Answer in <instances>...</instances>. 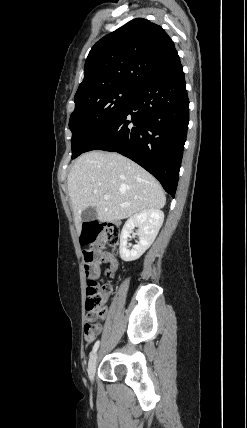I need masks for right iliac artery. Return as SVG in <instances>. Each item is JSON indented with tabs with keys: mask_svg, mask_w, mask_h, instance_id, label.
<instances>
[{
	"mask_svg": "<svg viewBox=\"0 0 247 428\" xmlns=\"http://www.w3.org/2000/svg\"><path fill=\"white\" fill-rule=\"evenodd\" d=\"M99 344H100V341H99V340H98V341H96V343H95V344H94V346H93V349H92L91 355H93L94 353H96L97 349L99 348Z\"/></svg>",
	"mask_w": 247,
	"mask_h": 428,
	"instance_id": "obj_1",
	"label": "right iliac artery"
}]
</instances>
